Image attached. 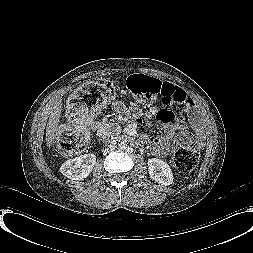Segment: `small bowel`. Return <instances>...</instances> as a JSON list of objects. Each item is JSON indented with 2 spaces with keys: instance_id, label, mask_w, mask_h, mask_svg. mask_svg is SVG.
I'll list each match as a JSON object with an SVG mask.
<instances>
[{
  "instance_id": "small-bowel-1",
  "label": "small bowel",
  "mask_w": 253,
  "mask_h": 253,
  "mask_svg": "<svg viewBox=\"0 0 253 253\" xmlns=\"http://www.w3.org/2000/svg\"><path fill=\"white\" fill-rule=\"evenodd\" d=\"M175 88L178 98L176 102L183 103L185 105L184 111L186 116L194 125L196 131L195 136L183 131V126L169 110L150 108L145 113H142L140 108L127 107L122 102H115L112 104V109L116 114L128 115L137 122H139L142 117L146 122H150L153 118L157 117V119L164 125L165 131L163 136L153 137L145 133L141 135L142 140L149 144L150 153L158 157H166L168 154L175 152L184 144L190 146L194 150H199L202 145L200 116L194 107V103L183 89L176 86ZM91 129L99 138H107L111 134L115 133L118 127L108 118H104L100 121L92 122ZM177 131H181V134L178 136L175 135Z\"/></svg>"
}]
</instances>
